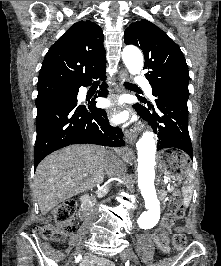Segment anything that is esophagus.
I'll return each mask as SVG.
<instances>
[{
	"label": "esophagus",
	"mask_w": 221,
	"mask_h": 266,
	"mask_svg": "<svg viewBox=\"0 0 221 266\" xmlns=\"http://www.w3.org/2000/svg\"><path fill=\"white\" fill-rule=\"evenodd\" d=\"M119 80L121 81V83L128 80V74L125 70L120 71ZM121 92H125V89L122 84H121ZM125 137L129 144H133L136 141V134L128 130L125 131Z\"/></svg>",
	"instance_id": "esophagus-1"
}]
</instances>
